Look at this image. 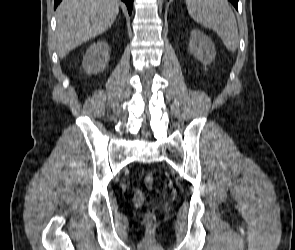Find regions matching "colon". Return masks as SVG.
Segmentation results:
<instances>
[{
  "label": "colon",
  "mask_w": 295,
  "mask_h": 250,
  "mask_svg": "<svg viewBox=\"0 0 295 250\" xmlns=\"http://www.w3.org/2000/svg\"><path fill=\"white\" fill-rule=\"evenodd\" d=\"M154 184V175L153 174H147L145 177H144V185L147 189H151L152 186ZM155 220V216L152 212H148L146 215H145V221L151 225L153 224Z\"/></svg>",
  "instance_id": "5ec220e1"
}]
</instances>
